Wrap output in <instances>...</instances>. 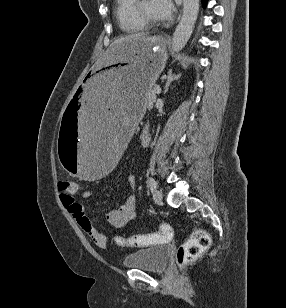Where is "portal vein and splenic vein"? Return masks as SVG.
I'll use <instances>...</instances> for the list:
<instances>
[{
    "label": "portal vein and splenic vein",
    "instance_id": "1",
    "mask_svg": "<svg viewBox=\"0 0 286 308\" xmlns=\"http://www.w3.org/2000/svg\"><path fill=\"white\" fill-rule=\"evenodd\" d=\"M154 92H155L156 94H160V93H161V88H160V87H157V88L154 90Z\"/></svg>",
    "mask_w": 286,
    "mask_h": 308
}]
</instances>
